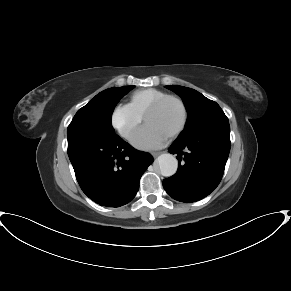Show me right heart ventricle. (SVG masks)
<instances>
[{"label":"right heart ventricle","mask_w":291,"mask_h":291,"mask_svg":"<svg viewBox=\"0 0 291 291\" xmlns=\"http://www.w3.org/2000/svg\"><path fill=\"white\" fill-rule=\"evenodd\" d=\"M166 95H168L166 92L155 88L136 90L130 95L129 105L143 117L145 110L154 101Z\"/></svg>","instance_id":"1"}]
</instances>
